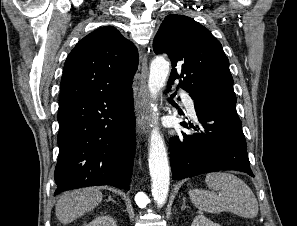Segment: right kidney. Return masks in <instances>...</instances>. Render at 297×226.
<instances>
[{"label": "right kidney", "instance_id": "right-kidney-1", "mask_svg": "<svg viewBox=\"0 0 297 226\" xmlns=\"http://www.w3.org/2000/svg\"><path fill=\"white\" fill-rule=\"evenodd\" d=\"M86 226H117L114 219L107 215L96 217L91 223Z\"/></svg>", "mask_w": 297, "mask_h": 226}]
</instances>
